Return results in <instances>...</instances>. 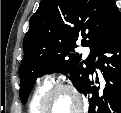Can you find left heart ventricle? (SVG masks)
<instances>
[{"label": "left heart ventricle", "instance_id": "1", "mask_svg": "<svg viewBox=\"0 0 121 113\" xmlns=\"http://www.w3.org/2000/svg\"><path fill=\"white\" fill-rule=\"evenodd\" d=\"M74 97L66 91L58 92L52 99L51 105L48 109L55 112H69L75 108Z\"/></svg>", "mask_w": 121, "mask_h": 113}]
</instances>
